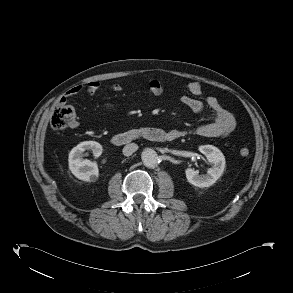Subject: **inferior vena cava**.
Segmentation results:
<instances>
[{"label": "inferior vena cava", "instance_id": "1", "mask_svg": "<svg viewBox=\"0 0 293 293\" xmlns=\"http://www.w3.org/2000/svg\"><path fill=\"white\" fill-rule=\"evenodd\" d=\"M137 150H138V145L135 144V143H130V144H127V145L124 146L123 154L125 156H130Z\"/></svg>", "mask_w": 293, "mask_h": 293}]
</instances>
